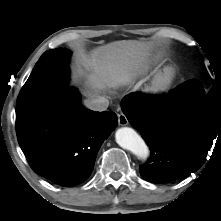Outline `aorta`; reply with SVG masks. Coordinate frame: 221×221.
Listing matches in <instances>:
<instances>
[{"label":"aorta","instance_id":"obj_1","mask_svg":"<svg viewBox=\"0 0 221 221\" xmlns=\"http://www.w3.org/2000/svg\"><path fill=\"white\" fill-rule=\"evenodd\" d=\"M117 144L125 150L130 151L139 159L145 160L150 151L144 140L130 127L119 128L115 133Z\"/></svg>","mask_w":221,"mask_h":221}]
</instances>
